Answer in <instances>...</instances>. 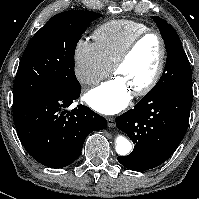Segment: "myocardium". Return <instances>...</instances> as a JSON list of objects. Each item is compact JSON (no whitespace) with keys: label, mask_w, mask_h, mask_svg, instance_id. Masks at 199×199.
Masks as SVG:
<instances>
[{"label":"myocardium","mask_w":199,"mask_h":199,"mask_svg":"<svg viewBox=\"0 0 199 199\" xmlns=\"http://www.w3.org/2000/svg\"><path fill=\"white\" fill-rule=\"evenodd\" d=\"M149 36H155L160 44V57L159 62L157 65V68L151 77V79L142 87L139 89H136L133 91L134 96H145L149 94L159 83L164 69L166 65V58H167V46L166 42L163 38V36L156 30H147L136 37H134L123 49V51L118 55L116 60L114 61L112 65V72L113 74H116L117 70L129 59V57L132 55L138 44L145 38Z\"/></svg>","instance_id":"1"}]
</instances>
